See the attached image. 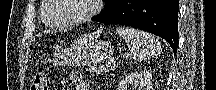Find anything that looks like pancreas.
Wrapping results in <instances>:
<instances>
[{
	"mask_svg": "<svg viewBox=\"0 0 216 90\" xmlns=\"http://www.w3.org/2000/svg\"><path fill=\"white\" fill-rule=\"evenodd\" d=\"M91 72V76H94V72L95 74H103V72H105V68H102L100 64H91Z\"/></svg>",
	"mask_w": 216,
	"mask_h": 90,
	"instance_id": "1",
	"label": "pancreas"
}]
</instances>
